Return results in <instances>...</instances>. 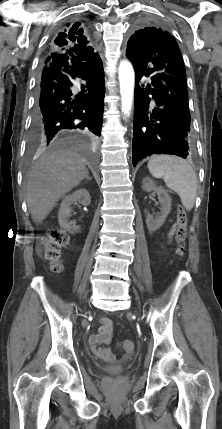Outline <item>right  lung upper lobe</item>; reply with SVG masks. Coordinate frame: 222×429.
Segmentation results:
<instances>
[{"instance_id": "obj_1", "label": "right lung upper lobe", "mask_w": 222, "mask_h": 429, "mask_svg": "<svg viewBox=\"0 0 222 429\" xmlns=\"http://www.w3.org/2000/svg\"><path fill=\"white\" fill-rule=\"evenodd\" d=\"M78 27L73 26L69 31L61 32L52 39L49 55L69 53L80 61L96 57L98 53L88 45L89 41L82 35L83 31H78Z\"/></svg>"}]
</instances>
